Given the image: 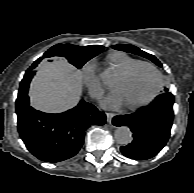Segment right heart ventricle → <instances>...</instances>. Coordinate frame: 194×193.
Wrapping results in <instances>:
<instances>
[{
    "mask_svg": "<svg viewBox=\"0 0 194 193\" xmlns=\"http://www.w3.org/2000/svg\"><path fill=\"white\" fill-rule=\"evenodd\" d=\"M108 63L114 68L119 74L140 62L139 59L131 57L124 52H113L107 57Z\"/></svg>",
    "mask_w": 194,
    "mask_h": 193,
    "instance_id": "obj_1",
    "label": "right heart ventricle"
}]
</instances>
